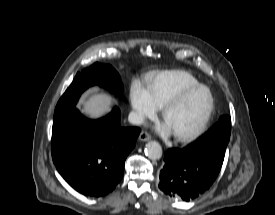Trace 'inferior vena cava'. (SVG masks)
Here are the masks:
<instances>
[{
  "label": "inferior vena cava",
  "instance_id": "obj_1",
  "mask_svg": "<svg viewBox=\"0 0 275 215\" xmlns=\"http://www.w3.org/2000/svg\"><path fill=\"white\" fill-rule=\"evenodd\" d=\"M128 121L132 124L140 125L144 122V117L140 113L132 111L129 113Z\"/></svg>",
  "mask_w": 275,
  "mask_h": 215
}]
</instances>
